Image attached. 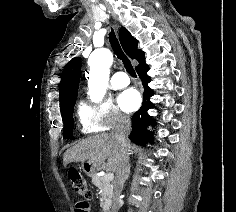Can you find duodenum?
I'll return each instance as SVG.
<instances>
[{"instance_id":"duodenum-1","label":"duodenum","mask_w":236,"mask_h":212,"mask_svg":"<svg viewBox=\"0 0 236 212\" xmlns=\"http://www.w3.org/2000/svg\"><path fill=\"white\" fill-rule=\"evenodd\" d=\"M108 212H113V210H112V209H110Z\"/></svg>"}]
</instances>
